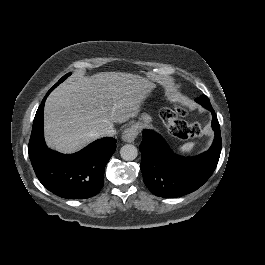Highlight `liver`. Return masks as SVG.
Listing matches in <instances>:
<instances>
[{
	"mask_svg": "<svg viewBox=\"0 0 265 265\" xmlns=\"http://www.w3.org/2000/svg\"><path fill=\"white\" fill-rule=\"evenodd\" d=\"M156 87L149 78L128 72L106 71L76 75L47 97L43 135L48 149L75 154L103 137L114 122H125Z\"/></svg>",
	"mask_w": 265,
	"mask_h": 265,
	"instance_id": "obj_1",
	"label": "liver"
}]
</instances>
